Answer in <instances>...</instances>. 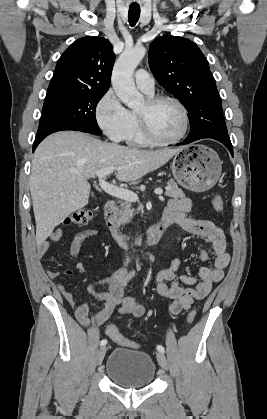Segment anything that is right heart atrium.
<instances>
[{
    "instance_id": "obj_1",
    "label": "right heart atrium",
    "mask_w": 267,
    "mask_h": 419,
    "mask_svg": "<svg viewBox=\"0 0 267 419\" xmlns=\"http://www.w3.org/2000/svg\"><path fill=\"white\" fill-rule=\"evenodd\" d=\"M95 118L99 128L112 141L125 140L130 127V112L113 91H107L98 101Z\"/></svg>"
}]
</instances>
